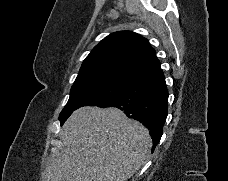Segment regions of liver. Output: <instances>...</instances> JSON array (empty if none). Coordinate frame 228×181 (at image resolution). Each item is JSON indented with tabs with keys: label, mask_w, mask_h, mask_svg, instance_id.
I'll list each match as a JSON object with an SVG mask.
<instances>
[{
	"label": "liver",
	"mask_w": 228,
	"mask_h": 181,
	"mask_svg": "<svg viewBox=\"0 0 228 181\" xmlns=\"http://www.w3.org/2000/svg\"><path fill=\"white\" fill-rule=\"evenodd\" d=\"M45 181H128L148 161L149 131L120 109L81 107L60 133Z\"/></svg>",
	"instance_id": "1"
}]
</instances>
